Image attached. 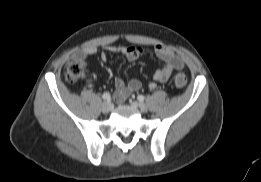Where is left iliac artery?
Here are the masks:
<instances>
[{"label": "left iliac artery", "instance_id": "left-iliac-artery-1", "mask_svg": "<svg viewBox=\"0 0 261 182\" xmlns=\"http://www.w3.org/2000/svg\"><path fill=\"white\" fill-rule=\"evenodd\" d=\"M137 99L140 101V102H143L145 100V97L143 95H138Z\"/></svg>", "mask_w": 261, "mask_h": 182}]
</instances>
